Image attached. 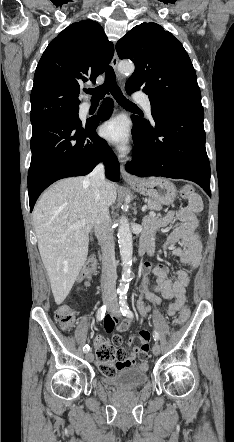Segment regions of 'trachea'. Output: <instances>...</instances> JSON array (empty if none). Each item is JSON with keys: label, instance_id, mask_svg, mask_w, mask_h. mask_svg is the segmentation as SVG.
I'll return each instance as SVG.
<instances>
[{"label": "trachea", "instance_id": "trachea-1", "mask_svg": "<svg viewBox=\"0 0 234 442\" xmlns=\"http://www.w3.org/2000/svg\"><path fill=\"white\" fill-rule=\"evenodd\" d=\"M109 92H111L112 96L121 106L136 107L134 103L126 99L123 95L121 89L116 83L115 73L111 66L106 70L104 84L86 91L87 94L92 95V100H101Z\"/></svg>", "mask_w": 234, "mask_h": 442}]
</instances>
